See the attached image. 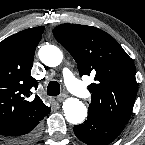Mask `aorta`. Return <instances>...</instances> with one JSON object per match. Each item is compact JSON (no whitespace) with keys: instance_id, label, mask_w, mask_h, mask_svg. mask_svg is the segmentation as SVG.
<instances>
[{"instance_id":"aorta-1","label":"aorta","mask_w":145,"mask_h":145,"mask_svg":"<svg viewBox=\"0 0 145 145\" xmlns=\"http://www.w3.org/2000/svg\"><path fill=\"white\" fill-rule=\"evenodd\" d=\"M38 56L40 61L49 67L60 65L63 59L61 50L50 44L42 46L38 51ZM62 108L66 120L71 124H80L87 117L85 105L77 98H67Z\"/></svg>"}]
</instances>
